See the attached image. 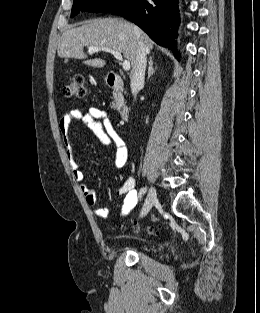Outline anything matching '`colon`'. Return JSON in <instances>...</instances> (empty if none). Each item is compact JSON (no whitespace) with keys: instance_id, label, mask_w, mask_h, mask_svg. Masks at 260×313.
Masks as SVG:
<instances>
[{"instance_id":"colon-1","label":"colon","mask_w":260,"mask_h":313,"mask_svg":"<svg viewBox=\"0 0 260 313\" xmlns=\"http://www.w3.org/2000/svg\"><path fill=\"white\" fill-rule=\"evenodd\" d=\"M87 87L84 78L80 75L73 76L64 87V95L66 97L85 98L87 96ZM135 232H140V228L136 227ZM145 232L149 235L158 234V228L148 226Z\"/></svg>"}]
</instances>
